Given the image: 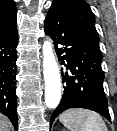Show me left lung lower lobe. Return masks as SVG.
<instances>
[{
	"label": "left lung lower lobe",
	"mask_w": 117,
	"mask_h": 131,
	"mask_svg": "<svg viewBox=\"0 0 117 131\" xmlns=\"http://www.w3.org/2000/svg\"><path fill=\"white\" fill-rule=\"evenodd\" d=\"M45 32L54 41L63 65L64 94L51 116V124L61 112L70 108L90 109L110 121L103 89L102 58L84 44L72 18L63 8L50 7L45 18Z\"/></svg>",
	"instance_id": "1"
}]
</instances>
